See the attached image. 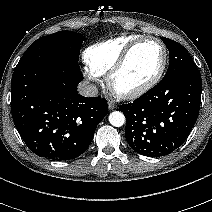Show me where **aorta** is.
<instances>
[{"mask_svg":"<svg viewBox=\"0 0 212 212\" xmlns=\"http://www.w3.org/2000/svg\"><path fill=\"white\" fill-rule=\"evenodd\" d=\"M109 122L114 127H121L125 123V116L120 111H114L109 115Z\"/></svg>","mask_w":212,"mask_h":212,"instance_id":"aorta-1","label":"aorta"}]
</instances>
